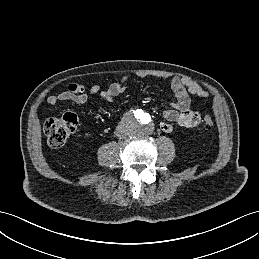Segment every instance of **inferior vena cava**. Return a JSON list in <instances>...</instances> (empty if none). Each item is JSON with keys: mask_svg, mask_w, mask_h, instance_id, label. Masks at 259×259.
<instances>
[{"mask_svg": "<svg viewBox=\"0 0 259 259\" xmlns=\"http://www.w3.org/2000/svg\"><path fill=\"white\" fill-rule=\"evenodd\" d=\"M117 135H118V137H120V138H123V137H124V134H123L121 131H117Z\"/></svg>", "mask_w": 259, "mask_h": 259, "instance_id": "inferior-vena-cava-1", "label": "inferior vena cava"}]
</instances>
